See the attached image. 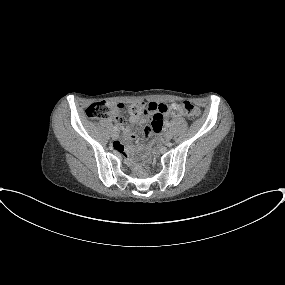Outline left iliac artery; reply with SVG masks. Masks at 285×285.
<instances>
[{"instance_id":"44dca946","label":"left iliac artery","mask_w":285,"mask_h":285,"mask_svg":"<svg viewBox=\"0 0 285 285\" xmlns=\"http://www.w3.org/2000/svg\"><path fill=\"white\" fill-rule=\"evenodd\" d=\"M170 125H171V124H170L169 122H168V123H166V127H170Z\"/></svg>"}]
</instances>
